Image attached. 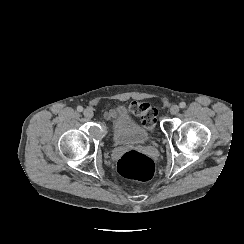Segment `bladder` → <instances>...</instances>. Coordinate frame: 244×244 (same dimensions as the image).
Masks as SVG:
<instances>
[{"mask_svg":"<svg viewBox=\"0 0 244 244\" xmlns=\"http://www.w3.org/2000/svg\"><path fill=\"white\" fill-rule=\"evenodd\" d=\"M128 120V115L126 113L122 114L121 121L127 122ZM112 140L113 143L116 145H145L150 144L151 136L143 128L141 122L130 123L127 125L119 123L115 127H113Z\"/></svg>","mask_w":244,"mask_h":244,"instance_id":"bladder-1","label":"bladder"}]
</instances>
